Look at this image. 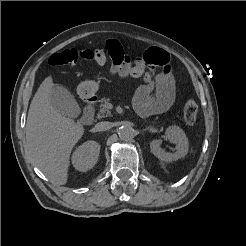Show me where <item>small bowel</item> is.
I'll use <instances>...</instances> for the list:
<instances>
[{
  "instance_id": "small-bowel-1",
  "label": "small bowel",
  "mask_w": 246,
  "mask_h": 246,
  "mask_svg": "<svg viewBox=\"0 0 246 246\" xmlns=\"http://www.w3.org/2000/svg\"><path fill=\"white\" fill-rule=\"evenodd\" d=\"M107 48H118L122 52L120 60L112 61L111 74L121 78L132 77L141 81L136 90L133 106L142 117L167 111L175 101V80L169 66V54L160 48H150L131 63L119 42L109 40ZM162 66L163 71L156 73Z\"/></svg>"
}]
</instances>
